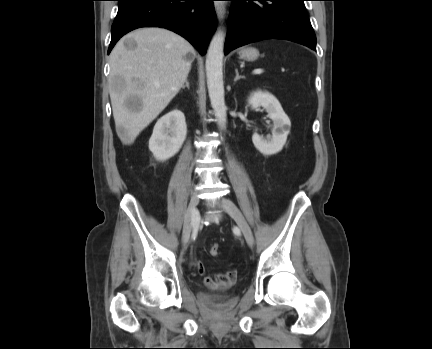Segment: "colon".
Returning <instances> with one entry per match:
<instances>
[{"label":"colon","instance_id":"1","mask_svg":"<svg viewBox=\"0 0 432 349\" xmlns=\"http://www.w3.org/2000/svg\"><path fill=\"white\" fill-rule=\"evenodd\" d=\"M219 251H220V247H219V245L218 244H213L211 247H210V250H209V252H210V255L211 256H218V254H219Z\"/></svg>","mask_w":432,"mask_h":349}]
</instances>
